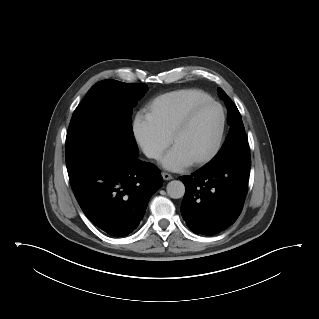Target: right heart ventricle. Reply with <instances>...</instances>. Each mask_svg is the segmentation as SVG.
Returning <instances> with one entry per match:
<instances>
[{
    "instance_id": "e07e8e85",
    "label": "right heart ventricle",
    "mask_w": 319,
    "mask_h": 319,
    "mask_svg": "<svg viewBox=\"0 0 319 319\" xmlns=\"http://www.w3.org/2000/svg\"><path fill=\"white\" fill-rule=\"evenodd\" d=\"M211 96L200 89H182L155 97L146 107V116L169 138L188 110Z\"/></svg>"
}]
</instances>
